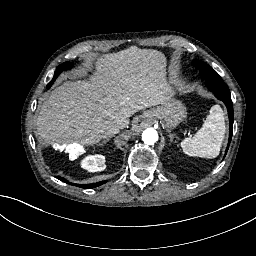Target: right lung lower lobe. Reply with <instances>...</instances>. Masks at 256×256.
Listing matches in <instances>:
<instances>
[{
	"mask_svg": "<svg viewBox=\"0 0 256 256\" xmlns=\"http://www.w3.org/2000/svg\"><path fill=\"white\" fill-rule=\"evenodd\" d=\"M57 178L67 184H71V185H75L77 187H81V188H84V189H90V188H94V187H97V186H100L104 183H106V181H101V182H97V183H93V184H87V185H78V184H73V183H70L68 182L67 180L63 179L62 177L60 176H57Z\"/></svg>",
	"mask_w": 256,
	"mask_h": 256,
	"instance_id": "98d812e1",
	"label": "right lung lower lobe"
}]
</instances>
